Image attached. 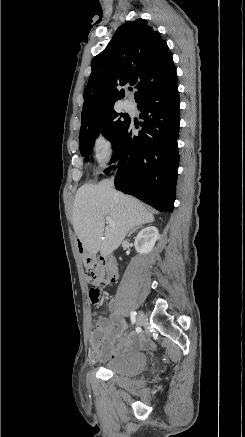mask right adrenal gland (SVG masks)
Returning <instances> with one entry per match:
<instances>
[{
	"label": "right adrenal gland",
	"instance_id": "1",
	"mask_svg": "<svg viewBox=\"0 0 245 437\" xmlns=\"http://www.w3.org/2000/svg\"><path fill=\"white\" fill-rule=\"evenodd\" d=\"M141 226H138V227H136V228H133L131 231H130V233H129V235L130 234H132L133 232H135L138 228H140Z\"/></svg>",
	"mask_w": 245,
	"mask_h": 437
}]
</instances>
